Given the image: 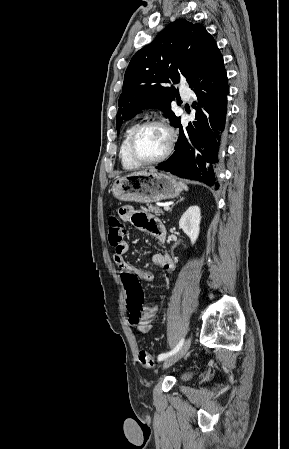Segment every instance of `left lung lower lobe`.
Masks as SVG:
<instances>
[{
    "label": "left lung lower lobe",
    "instance_id": "obj_1",
    "mask_svg": "<svg viewBox=\"0 0 289 449\" xmlns=\"http://www.w3.org/2000/svg\"><path fill=\"white\" fill-rule=\"evenodd\" d=\"M197 96L196 119L180 128L173 155L156 168L176 176L203 182L215 189L217 164L227 137V96L229 93L223 57L216 48L204 61L198 77L189 85Z\"/></svg>",
    "mask_w": 289,
    "mask_h": 449
}]
</instances>
